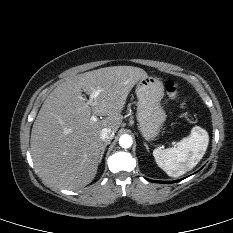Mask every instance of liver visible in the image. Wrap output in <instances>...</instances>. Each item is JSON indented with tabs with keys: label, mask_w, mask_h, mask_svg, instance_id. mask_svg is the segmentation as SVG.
<instances>
[{
	"label": "liver",
	"mask_w": 233,
	"mask_h": 233,
	"mask_svg": "<svg viewBox=\"0 0 233 233\" xmlns=\"http://www.w3.org/2000/svg\"><path fill=\"white\" fill-rule=\"evenodd\" d=\"M147 73L134 66H112L67 77L44 101L33 124L31 156L48 184L77 190L94 179L104 144L100 133L121 125L134 85ZM99 94L89 102L82 92ZM91 115L105 116L96 121Z\"/></svg>",
	"instance_id": "liver-1"
}]
</instances>
